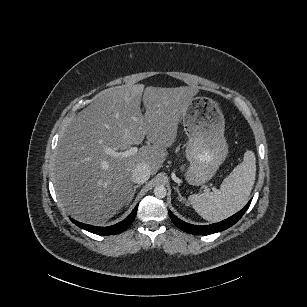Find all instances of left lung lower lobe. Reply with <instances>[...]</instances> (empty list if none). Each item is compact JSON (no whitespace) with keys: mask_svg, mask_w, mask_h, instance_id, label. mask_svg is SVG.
I'll return each instance as SVG.
<instances>
[{"mask_svg":"<svg viewBox=\"0 0 307 307\" xmlns=\"http://www.w3.org/2000/svg\"><path fill=\"white\" fill-rule=\"evenodd\" d=\"M251 201L248 202V204L238 213L235 215L231 216L230 218L223 220L219 223L211 224V225H206V226H197V225H192L188 224L180 219H178L171 211H169V216L173 223L180 228L181 230L188 232L190 234L194 235H208L212 233H216L219 231H223L229 227H231L233 224H235L245 213L247 208L249 207Z\"/></svg>","mask_w":307,"mask_h":307,"instance_id":"1","label":"left lung lower lobe"}]
</instances>
